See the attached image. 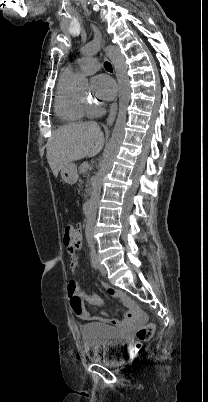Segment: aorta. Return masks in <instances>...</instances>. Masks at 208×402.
I'll use <instances>...</instances> for the list:
<instances>
[{"instance_id": "obj_1", "label": "aorta", "mask_w": 208, "mask_h": 402, "mask_svg": "<svg viewBox=\"0 0 208 402\" xmlns=\"http://www.w3.org/2000/svg\"><path fill=\"white\" fill-rule=\"evenodd\" d=\"M105 54L114 66L119 88V110L112 138L104 152L102 169L95 175L96 179L92 186L89 214L86 218L84 242L87 244L88 249L92 250L93 255H96V244L93 242V238L95 233V223L97 221L96 214L99 206V198L103 194V177L107 171L110 170L112 162H114V158H116L117 152L121 146L126 126L127 108L130 102V84L129 76L127 74V64L123 54H121L120 48H118V46H107V48H105Z\"/></svg>"}]
</instances>
